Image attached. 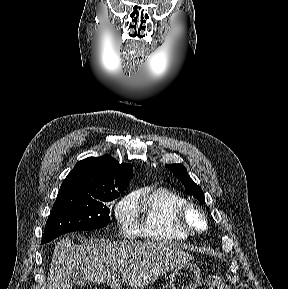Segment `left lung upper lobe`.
<instances>
[{"label": "left lung upper lobe", "instance_id": "obj_1", "mask_svg": "<svg viewBox=\"0 0 288 289\" xmlns=\"http://www.w3.org/2000/svg\"><path fill=\"white\" fill-rule=\"evenodd\" d=\"M167 168L184 184L186 193L205 203L204 194L200 186L195 184L189 177L186 168L181 164L166 165Z\"/></svg>", "mask_w": 288, "mask_h": 289}]
</instances>
